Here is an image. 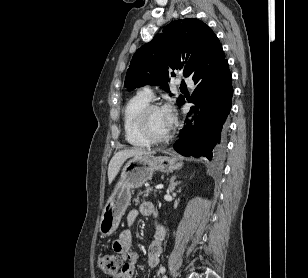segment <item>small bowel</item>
I'll return each instance as SVG.
<instances>
[{
	"instance_id": "obj_1",
	"label": "small bowel",
	"mask_w": 308,
	"mask_h": 278,
	"mask_svg": "<svg viewBox=\"0 0 308 278\" xmlns=\"http://www.w3.org/2000/svg\"><path fill=\"white\" fill-rule=\"evenodd\" d=\"M141 214L146 217L157 216V211L154 205L150 202H144L139 206L138 210H131L127 216L128 225H132L137 216ZM165 237V230L161 225L156 226L154 240L148 247V265L156 267L159 263L162 253V241ZM132 232L129 229L122 231L117 240L113 242V250L124 258L125 263L119 273L113 278H134L135 264L138 260V255L132 247Z\"/></svg>"
}]
</instances>
